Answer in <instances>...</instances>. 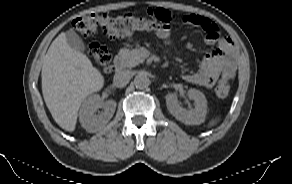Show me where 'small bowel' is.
I'll return each mask as SVG.
<instances>
[{
  "mask_svg": "<svg viewBox=\"0 0 292 184\" xmlns=\"http://www.w3.org/2000/svg\"><path fill=\"white\" fill-rule=\"evenodd\" d=\"M186 25L200 27L205 32V41L209 45H217V49L207 54L201 62L199 70L183 75L188 83L205 88H212L218 78L226 81L232 79L237 69V52L234 43L229 38L220 37L218 26L210 19L188 14L183 17ZM166 44H171L170 29L167 28L157 33Z\"/></svg>",
  "mask_w": 292,
  "mask_h": 184,
  "instance_id": "small-bowel-1",
  "label": "small bowel"
}]
</instances>
